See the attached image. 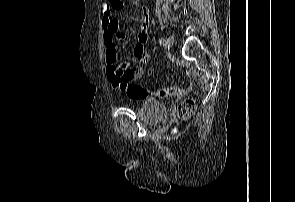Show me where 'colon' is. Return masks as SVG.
<instances>
[{
	"label": "colon",
	"instance_id": "5ec220e1",
	"mask_svg": "<svg viewBox=\"0 0 295 202\" xmlns=\"http://www.w3.org/2000/svg\"><path fill=\"white\" fill-rule=\"evenodd\" d=\"M114 7L123 6V0H110ZM112 56V55H110ZM134 76L130 70L120 71V82L118 88L126 93L131 99H143L146 97L167 98L176 95L179 88L176 86L163 88L157 91H150L139 84L135 83ZM196 109V103L193 99L187 98L182 100L178 106V116L180 118H188L193 115Z\"/></svg>",
	"mask_w": 295,
	"mask_h": 202
}]
</instances>
